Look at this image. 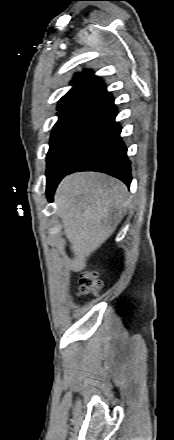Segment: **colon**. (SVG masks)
I'll list each match as a JSON object with an SVG mask.
<instances>
[{"label":"colon","mask_w":174,"mask_h":440,"mask_svg":"<svg viewBox=\"0 0 174 440\" xmlns=\"http://www.w3.org/2000/svg\"><path fill=\"white\" fill-rule=\"evenodd\" d=\"M102 287V282L94 271H85L81 275L79 295L96 296Z\"/></svg>","instance_id":"obj_1"}]
</instances>
